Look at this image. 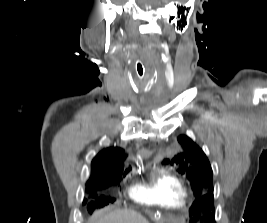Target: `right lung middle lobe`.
<instances>
[{
    "label": "right lung middle lobe",
    "instance_id": "dd1d6c3e",
    "mask_svg": "<svg viewBox=\"0 0 267 223\" xmlns=\"http://www.w3.org/2000/svg\"><path fill=\"white\" fill-rule=\"evenodd\" d=\"M126 173H124V176L126 175ZM122 174L123 173H112V174L102 178L98 183H102L105 186H110L112 184L119 182L121 180ZM91 195H92V197H96V193H92ZM113 202H114V199L101 196L100 198L97 199L96 204L92 203V206H95V205L96 206H104L106 204L113 203ZM84 203H86V201H84Z\"/></svg>",
    "mask_w": 267,
    "mask_h": 223
}]
</instances>
